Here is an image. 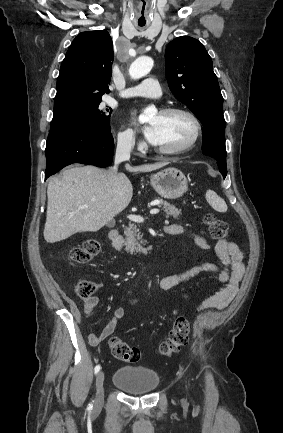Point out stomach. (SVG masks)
Wrapping results in <instances>:
<instances>
[{"mask_svg":"<svg viewBox=\"0 0 283 433\" xmlns=\"http://www.w3.org/2000/svg\"><path fill=\"white\" fill-rule=\"evenodd\" d=\"M150 182L164 198H179L188 188V180L178 168H164L156 174H152Z\"/></svg>","mask_w":283,"mask_h":433,"instance_id":"obj_1","label":"stomach"}]
</instances>
